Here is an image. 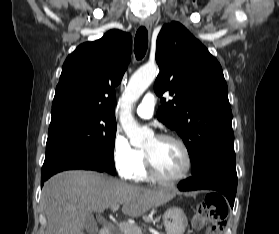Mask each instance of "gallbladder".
Listing matches in <instances>:
<instances>
[{
  "label": "gallbladder",
  "mask_w": 279,
  "mask_h": 234,
  "mask_svg": "<svg viewBox=\"0 0 279 234\" xmlns=\"http://www.w3.org/2000/svg\"><path fill=\"white\" fill-rule=\"evenodd\" d=\"M85 228L89 232V234H96V232L98 231L96 221L92 215L87 216L85 221Z\"/></svg>",
  "instance_id": "gallbladder-1"
}]
</instances>
